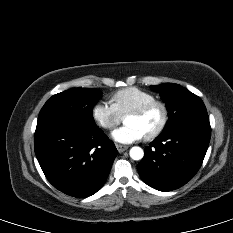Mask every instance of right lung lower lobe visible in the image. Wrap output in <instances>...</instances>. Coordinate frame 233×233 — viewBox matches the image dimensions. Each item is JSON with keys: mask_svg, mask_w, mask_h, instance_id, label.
<instances>
[{"mask_svg": "<svg viewBox=\"0 0 233 233\" xmlns=\"http://www.w3.org/2000/svg\"><path fill=\"white\" fill-rule=\"evenodd\" d=\"M34 148L48 181L77 198L103 186L117 156L114 143L98 126L62 117L38 121Z\"/></svg>", "mask_w": 233, "mask_h": 233, "instance_id": "1", "label": "right lung lower lobe"}]
</instances>
